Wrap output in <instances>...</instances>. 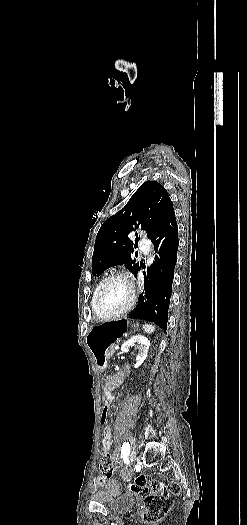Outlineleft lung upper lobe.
I'll return each mask as SVG.
<instances>
[{
	"instance_id": "5c2ea615",
	"label": "left lung upper lobe",
	"mask_w": 247,
	"mask_h": 525,
	"mask_svg": "<svg viewBox=\"0 0 247 525\" xmlns=\"http://www.w3.org/2000/svg\"><path fill=\"white\" fill-rule=\"evenodd\" d=\"M174 213L166 189L157 181H146L132 195L122 210L107 219L97 233L92 257L93 274L124 264L134 275L140 270L130 257L135 244L129 235L144 230L150 238L157 228Z\"/></svg>"
}]
</instances>
